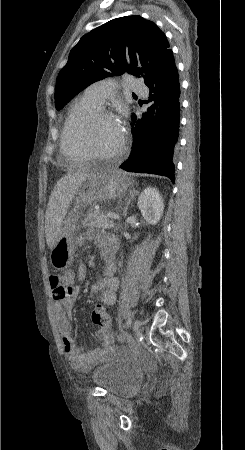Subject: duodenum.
I'll use <instances>...</instances> for the list:
<instances>
[{
	"instance_id": "obj_1",
	"label": "duodenum",
	"mask_w": 245,
	"mask_h": 450,
	"mask_svg": "<svg viewBox=\"0 0 245 450\" xmlns=\"http://www.w3.org/2000/svg\"><path fill=\"white\" fill-rule=\"evenodd\" d=\"M104 265H105V267H108V265H109V260L108 259H104Z\"/></svg>"
}]
</instances>
